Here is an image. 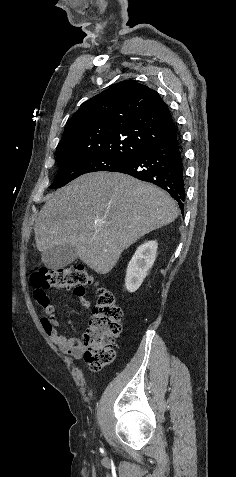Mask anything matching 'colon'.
Segmentation results:
<instances>
[{
    "mask_svg": "<svg viewBox=\"0 0 236 477\" xmlns=\"http://www.w3.org/2000/svg\"><path fill=\"white\" fill-rule=\"evenodd\" d=\"M31 285L36 296L51 288H73L76 294H84L87 286L93 284V277L81 264L58 271L40 269L32 273ZM123 310L114 295L104 289H97V299L89 326L84 335L86 347L85 361L92 370H100L114 359V344L121 332Z\"/></svg>",
    "mask_w": 236,
    "mask_h": 477,
    "instance_id": "colon-1",
    "label": "colon"
}]
</instances>
